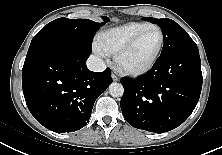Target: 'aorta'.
Here are the masks:
<instances>
[{
	"label": "aorta",
	"instance_id": "1",
	"mask_svg": "<svg viewBox=\"0 0 222 155\" xmlns=\"http://www.w3.org/2000/svg\"><path fill=\"white\" fill-rule=\"evenodd\" d=\"M109 93L113 97H121L124 93V88L120 83H112L109 86Z\"/></svg>",
	"mask_w": 222,
	"mask_h": 155
}]
</instances>
